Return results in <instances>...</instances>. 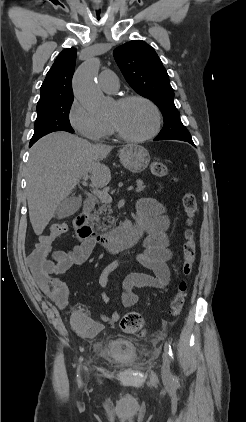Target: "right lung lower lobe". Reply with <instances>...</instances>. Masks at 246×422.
<instances>
[{"mask_svg":"<svg viewBox=\"0 0 246 422\" xmlns=\"http://www.w3.org/2000/svg\"><path fill=\"white\" fill-rule=\"evenodd\" d=\"M33 145V143H30V145L29 146H32Z\"/></svg>","mask_w":246,"mask_h":422,"instance_id":"right-lung-lower-lobe-1","label":"right lung lower lobe"}]
</instances>
